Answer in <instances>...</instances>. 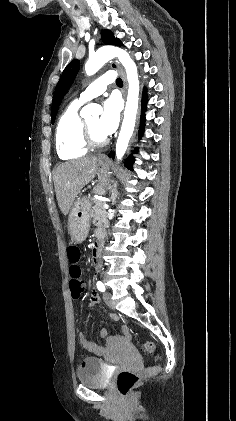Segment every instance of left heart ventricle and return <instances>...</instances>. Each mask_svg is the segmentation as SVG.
<instances>
[{
    "label": "left heart ventricle",
    "instance_id": "left-heart-ventricle-1",
    "mask_svg": "<svg viewBox=\"0 0 236 421\" xmlns=\"http://www.w3.org/2000/svg\"><path fill=\"white\" fill-rule=\"evenodd\" d=\"M86 120L92 137L95 140L103 139L105 135H103L98 128L99 116H92L87 118Z\"/></svg>",
    "mask_w": 236,
    "mask_h": 421
}]
</instances>
